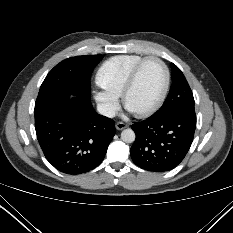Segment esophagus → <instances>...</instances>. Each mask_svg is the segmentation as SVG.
Instances as JSON below:
<instances>
[{"instance_id": "34e87169", "label": "esophagus", "mask_w": 233, "mask_h": 233, "mask_svg": "<svg viewBox=\"0 0 233 233\" xmlns=\"http://www.w3.org/2000/svg\"><path fill=\"white\" fill-rule=\"evenodd\" d=\"M115 127H116L117 130H122V129L127 127V124H125L123 122H117Z\"/></svg>"}]
</instances>
